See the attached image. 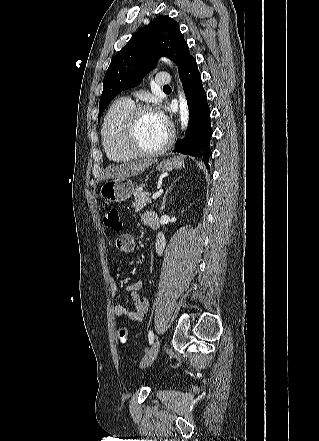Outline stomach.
<instances>
[{
    "instance_id": "1",
    "label": "stomach",
    "mask_w": 319,
    "mask_h": 441,
    "mask_svg": "<svg viewBox=\"0 0 319 441\" xmlns=\"http://www.w3.org/2000/svg\"><path fill=\"white\" fill-rule=\"evenodd\" d=\"M184 162L180 157H174L171 160L161 162L157 169L161 172L181 169ZM134 184L125 178L109 179L100 189V196L108 203L123 202L129 199L133 193Z\"/></svg>"
}]
</instances>
